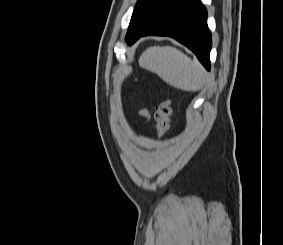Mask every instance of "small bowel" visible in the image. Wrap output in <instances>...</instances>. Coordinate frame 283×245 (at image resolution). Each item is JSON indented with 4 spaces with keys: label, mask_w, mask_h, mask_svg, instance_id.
Here are the masks:
<instances>
[{
    "label": "small bowel",
    "mask_w": 283,
    "mask_h": 245,
    "mask_svg": "<svg viewBox=\"0 0 283 245\" xmlns=\"http://www.w3.org/2000/svg\"><path fill=\"white\" fill-rule=\"evenodd\" d=\"M139 113L145 119L146 122L149 121L150 114L147 109H141Z\"/></svg>",
    "instance_id": "obj_1"
}]
</instances>
